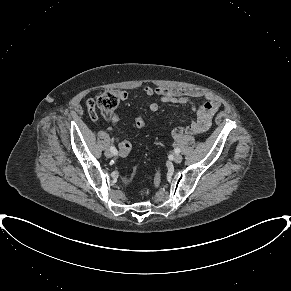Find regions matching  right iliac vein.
<instances>
[{"instance_id": "63e3f726", "label": "right iliac vein", "mask_w": 291, "mask_h": 291, "mask_svg": "<svg viewBox=\"0 0 291 291\" xmlns=\"http://www.w3.org/2000/svg\"><path fill=\"white\" fill-rule=\"evenodd\" d=\"M113 155L114 154H113V152L110 149H108V150L105 151V156L106 157L111 158V157H113Z\"/></svg>"}]
</instances>
